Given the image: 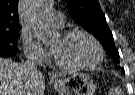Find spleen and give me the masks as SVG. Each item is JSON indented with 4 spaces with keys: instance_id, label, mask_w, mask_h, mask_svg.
<instances>
[{
    "instance_id": "spleen-1",
    "label": "spleen",
    "mask_w": 135,
    "mask_h": 95,
    "mask_svg": "<svg viewBox=\"0 0 135 95\" xmlns=\"http://www.w3.org/2000/svg\"><path fill=\"white\" fill-rule=\"evenodd\" d=\"M109 95H124V94H123L121 88L115 87L110 90Z\"/></svg>"
}]
</instances>
